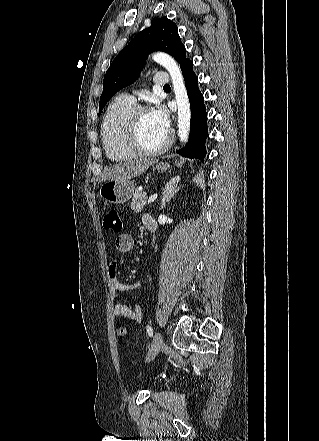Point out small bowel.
<instances>
[{"mask_svg": "<svg viewBox=\"0 0 319 441\" xmlns=\"http://www.w3.org/2000/svg\"><path fill=\"white\" fill-rule=\"evenodd\" d=\"M143 225L148 228L149 225L156 227V221L151 215H144L142 218ZM116 249L121 253H129L135 247V241L130 234H121L115 241ZM117 263L112 261L108 267L109 274V292L113 299V310L117 317L127 318L132 322L141 323L143 320V304H138L135 309H131L126 304L120 302L118 292L137 291L141 284L139 282L123 283L119 281L116 275Z\"/></svg>", "mask_w": 319, "mask_h": 441, "instance_id": "small-bowel-1", "label": "small bowel"}]
</instances>
